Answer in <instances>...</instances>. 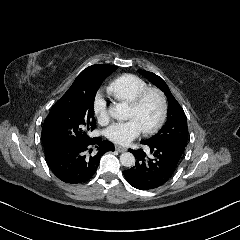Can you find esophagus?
<instances>
[{
	"label": "esophagus",
	"instance_id": "1",
	"mask_svg": "<svg viewBox=\"0 0 240 240\" xmlns=\"http://www.w3.org/2000/svg\"><path fill=\"white\" fill-rule=\"evenodd\" d=\"M115 148H116V150H117L118 152H120V153L127 151V148L124 147V146H119V145H117Z\"/></svg>",
	"mask_w": 240,
	"mask_h": 240
}]
</instances>
